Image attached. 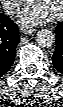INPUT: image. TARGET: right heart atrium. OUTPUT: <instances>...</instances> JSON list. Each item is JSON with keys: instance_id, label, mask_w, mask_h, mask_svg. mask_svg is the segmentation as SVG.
I'll use <instances>...</instances> for the list:
<instances>
[{"instance_id": "obj_1", "label": "right heart atrium", "mask_w": 63, "mask_h": 107, "mask_svg": "<svg viewBox=\"0 0 63 107\" xmlns=\"http://www.w3.org/2000/svg\"><path fill=\"white\" fill-rule=\"evenodd\" d=\"M4 5H5V8L10 13H14L20 8V6L22 5V1H20V0H7V1H5Z\"/></svg>"}]
</instances>
